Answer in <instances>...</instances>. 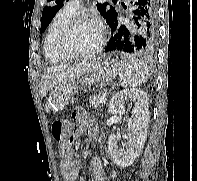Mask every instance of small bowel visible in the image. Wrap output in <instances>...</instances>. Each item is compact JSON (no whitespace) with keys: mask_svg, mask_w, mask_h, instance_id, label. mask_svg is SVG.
<instances>
[{"mask_svg":"<svg viewBox=\"0 0 197 181\" xmlns=\"http://www.w3.org/2000/svg\"><path fill=\"white\" fill-rule=\"evenodd\" d=\"M73 136L68 142L60 146L61 171L66 181H76L81 168L80 162L74 158L73 139L86 134L91 141L98 138V129L95 120L84 109H77L72 114ZM90 181H105L102 161L99 157H93L89 165Z\"/></svg>","mask_w":197,"mask_h":181,"instance_id":"1","label":"small bowel"}]
</instances>
